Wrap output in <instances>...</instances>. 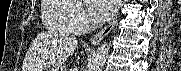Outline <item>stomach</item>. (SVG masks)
Here are the masks:
<instances>
[{
	"label": "stomach",
	"instance_id": "stomach-1",
	"mask_svg": "<svg viewBox=\"0 0 181 71\" xmlns=\"http://www.w3.org/2000/svg\"><path fill=\"white\" fill-rule=\"evenodd\" d=\"M46 71H65L64 67L61 65L54 66L52 68L46 69Z\"/></svg>",
	"mask_w": 181,
	"mask_h": 71
}]
</instances>
